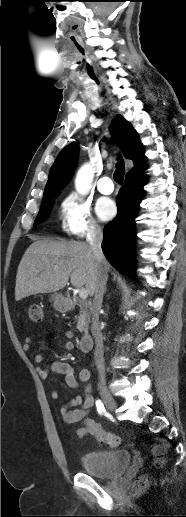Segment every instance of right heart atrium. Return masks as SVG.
I'll return each instance as SVG.
<instances>
[{"label":"right heart atrium","instance_id":"obj_1","mask_svg":"<svg viewBox=\"0 0 186 517\" xmlns=\"http://www.w3.org/2000/svg\"><path fill=\"white\" fill-rule=\"evenodd\" d=\"M59 219L62 230L76 238H89L100 232L90 204L77 194H69L62 199Z\"/></svg>","mask_w":186,"mask_h":517}]
</instances>
